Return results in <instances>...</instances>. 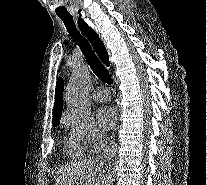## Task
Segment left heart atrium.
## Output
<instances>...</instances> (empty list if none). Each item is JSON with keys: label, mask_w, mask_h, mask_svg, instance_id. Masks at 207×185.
<instances>
[{"label": "left heart atrium", "mask_w": 207, "mask_h": 185, "mask_svg": "<svg viewBox=\"0 0 207 185\" xmlns=\"http://www.w3.org/2000/svg\"><path fill=\"white\" fill-rule=\"evenodd\" d=\"M97 117L101 127L108 130L115 124L117 120V113L113 108L104 106L98 110Z\"/></svg>", "instance_id": "left-heart-atrium-1"}]
</instances>
